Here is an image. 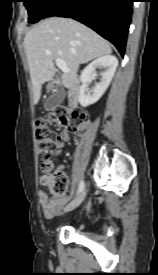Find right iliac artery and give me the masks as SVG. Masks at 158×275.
I'll return each mask as SVG.
<instances>
[{"mask_svg": "<svg viewBox=\"0 0 158 275\" xmlns=\"http://www.w3.org/2000/svg\"><path fill=\"white\" fill-rule=\"evenodd\" d=\"M84 189V182L81 181L80 184H79V190H78V193L82 192Z\"/></svg>", "mask_w": 158, "mask_h": 275, "instance_id": "obj_1", "label": "right iliac artery"}]
</instances>
